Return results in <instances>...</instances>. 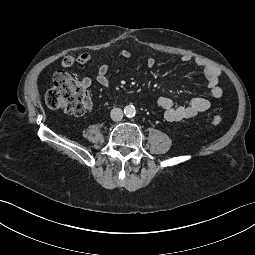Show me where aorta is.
<instances>
[{
  "instance_id": "aorta-1",
  "label": "aorta",
  "mask_w": 255,
  "mask_h": 255,
  "mask_svg": "<svg viewBox=\"0 0 255 255\" xmlns=\"http://www.w3.org/2000/svg\"><path fill=\"white\" fill-rule=\"evenodd\" d=\"M124 113L127 117H133L136 114V109L133 105H127L124 108Z\"/></svg>"
}]
</instances>
